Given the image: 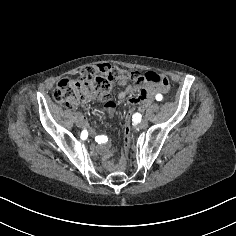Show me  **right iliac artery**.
I'll return each instance as SVG.
<instances>
[{
    "label": "right iliac artery",
    "mask_w": 236,
    "mask_h": 236,
    "mask_svg": "<svg viewBox=\"0 0 236 236\" xmlns=\"http://www.w3.org/2000/svg\"><path fill=\"white\" fill-rule=\"evenodd\" d=\"M87 137H88V132H87V130H83L82 133H81V139H82V140H85V139H87Z\"/></svg>",
    "instance_id": "obj_1"
}]
</instances>
